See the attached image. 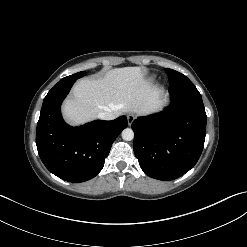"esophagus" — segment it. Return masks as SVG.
Returning <instances> with one entry per match:
<instances>
[{
	"instance_id": "obj_1",
	"label": "esophagus",
	"mask_w": 247,
	"mask_h": 247,
	"mask_svg": "<svg viewBox=\"0 0 247 247\" xmlns=\"http://www.w3.org/2000/svg\"><path fill=\"white\" fill-rule=\"evenodd\" d=\"M134 120H135V116L133 114L127 115V121L129 126L133 123Z\"/></svg>"
}]
</instances>
